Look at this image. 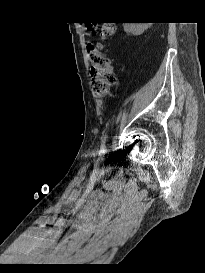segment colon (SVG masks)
<instances>
[{
  "instance_id": "obj_1",
  "label": "colon",
  "mask_w": 205,
  "mask_h": 273,
  "mask_svg": "<svg viewBox=\"0 0 205 273\" xmlns=\"http://www.w3.org/2000/svg\"><path fill=\"white\" fill-rule=\"evenodd\" d=\"M115 24L112 21H106L99 26L87 25V31L90 33L99 32L102 37H109L113 34ZM88 57L91 64L92 89L95 95L107 96L110 88L116 83V77L112 72L111 62L98 45L90 44L88 46Z\"/></svg>"
}]
</instances>
